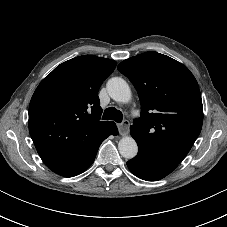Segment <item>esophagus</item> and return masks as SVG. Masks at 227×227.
Wrapping results in <instances>:
<instances>
[{"label": "esophagus", "mask_w": 227, "mask_h": 227, "mask_svg": "<svg viewBox=\"0 0 227 227\" xmlns=\"http://www.w3.org/2000/svg\"><path fill=\"white\" fill-rule=\"evenodd\" d=\"M130 122L124 120L122 123L118 124V131L121 135H126L129 131Z\"/></svg>", "instance_id": "esophagus-1"}]
</instances>
